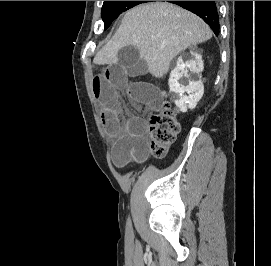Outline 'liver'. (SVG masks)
<instances>
[{
	"mask_svg": "<svg viewBox=\"0 0 271 266\" xmlns=\"http://www.w3.org/2000/svg\"><path fill=\"white\" fill-rule=\"evenodd\" d=\"M212 37L210 27L195 14L170 3H147L130 9L112 39L96 54L94 63L111 65L125 46H135L148 62L152 76L167 74L181 51Z\"/></svg>",
	"mask_w": 271,
	"mask_h": 266,
	"instance_id": "6515ba94",
	"label": "liver"
}]
</instances>
